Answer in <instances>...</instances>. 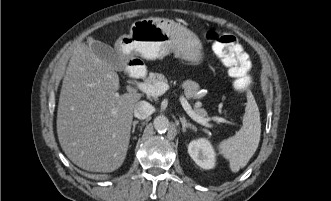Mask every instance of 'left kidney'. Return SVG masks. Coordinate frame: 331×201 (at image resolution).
<instances>
[{
    "label": "left kidney",
    "instance_id": "5707ae66",
    "mask_svg": "<svg viewBox=\"0 0 331 201\" xmlns=\"http://www.w3.org/2000/svg\"><path fill=\"white\" fill-rule=\"evenodd\" d=\"M188 153L195 163L203 169H212L215 166V152L206 139L201 138L190 142Z\"/></svg>",
    "mask_w": 331,
    "mask_h": 201
}]
</instances>
